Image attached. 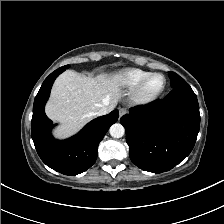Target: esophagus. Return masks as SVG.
Segmentation results:
<instances>
[{
    "mask_svg": "<svg viewBox=\"0 0 224 224\" xmlns=\"http://www.w3.org/2000/svg\"><path fill=\"white\" fill-rule=\"evenodd\" d=\"M127 113V110L125 108H121L119 110V117L121 118L123 115H125Z\"/></svg>",
    "mask_w": 224,
    "mask_h": 224,
    "instance_id": "1",
    "label": "esophagus"
}]
</instances>
